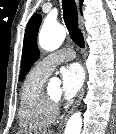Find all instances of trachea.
Listing matches in <instances>:
<instances>
[{"label":"trachea","instance_id":"3493384b","mask_svg":"<svg viewBox=\"0 0 116 134\" xmlns=\"http://www.w3.org/2000/svg\"><path fill=\"white\" fill-rule=\"evenodd\" d=\"M62 6L64 22L71 39L77 46L84 48V37L78 26V12L75 0H62Z\"/></svg>","mask_w":116,"mask_h":134}]
</instances>
